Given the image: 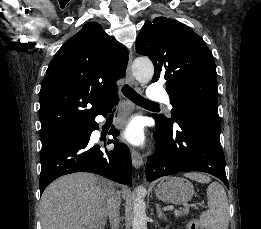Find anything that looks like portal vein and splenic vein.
Wrapping results in <instances>:
<instances>
[{"mask_svg":"<svg viewBox=\"0 0 261 229\" xmlns=\"http://www.w3.org/2000/svg\"><path fill=\"white\" fill-rule=\"evenodd\" d=\"M197 207L204 208L205 204L204 203H200V204H197V203H186V204H184V207H181L180 209L175 208L174 209V214L175 215H177V213L182 214L184 211H187L189 208H197Z\"/></svg>","mask_w":261,"mask_h":229,"instance_id":"1","label":"portal vein and splenic vein"}]
</instances>
